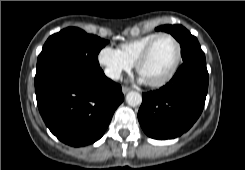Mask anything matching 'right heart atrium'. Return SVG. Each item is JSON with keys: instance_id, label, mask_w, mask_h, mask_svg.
Wrapping results in <instances>:
<instances>
[{"instance_id": "d8ad5b80", "label": "right heart atrium", "mask_w": 245, "mask_h": 170, "mask_svg": "<svg viewBox=\"0 0 245 170\" xmlns=\"http://www.w3.org/2000/svg\"><path fill=\"white\" fill-rule=\"evenodd\" d=\"M98 61L104 67V73L110 79H118L123 72L129 71L132 64L119 49L105 46L98 54Z\"/></svg>"}]
</instances>
